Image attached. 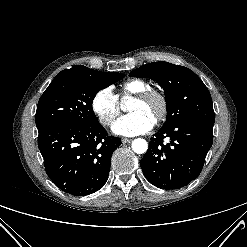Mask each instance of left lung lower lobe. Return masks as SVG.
Returning <instances> with one entry per match:
<instances>
[{"label": "left lung lower lobe", "instance_id": "left-lung-lower-lobe-1", "mask_svg": "<svg viewBox=\"0 0 247 247\" xmlns=\"http://www.w3.org/2000/svg\"><path fill=\"white\" fill-rule=\"evenodd\" d=\"M213 126L197 121H181L162 127L151 138L140 161L143 174L162 189H179L195 180L212 146ZM169 139L164 143V138Z\"/></svg>", "mask_w": 247, "mask_h": 247}]
</instances>
